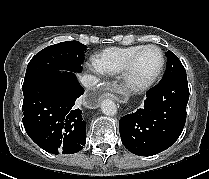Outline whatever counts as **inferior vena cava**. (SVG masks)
<instances>
[{"instance_id":"inferior-vena-cava-1","label":"inferior vena cava","mask_w":209,"mask_h":179,"mask_svg":"<svg viewBox=\"0 0 209 179\" xmlns=\"http://www.w3.org/2000/svg\"><path fill=\"white\" fill-rule=\"evenodd\" d=\"M80 81L86 88H91L99 82L98 78L93 75H84Z\"/></svg>"}]
</instances>
